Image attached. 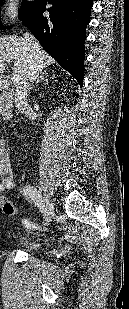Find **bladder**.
Listing matches in <instances>:
<instances>
[{
	"mask_svg": "<svg viewBox=\"0 0 129 309\" xmlns=\"http://www.w3.org/2000/svg\"><path fill=\"white\" fill-rule=\"evenodd\" d=\"M16 242L17 245L28 250H36L41 246L38 240H31L29 237L24 235L16 236Z\"/></svg>",
	"mask_w": 129,
	"mask_h": 309,
	"instance_id": "1",
	"label": "bladder"
}]
</instances>
